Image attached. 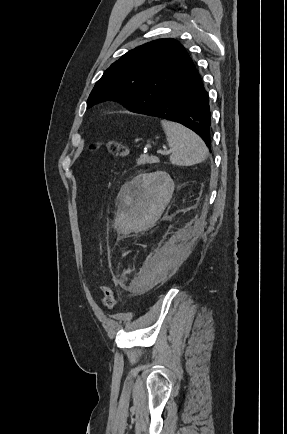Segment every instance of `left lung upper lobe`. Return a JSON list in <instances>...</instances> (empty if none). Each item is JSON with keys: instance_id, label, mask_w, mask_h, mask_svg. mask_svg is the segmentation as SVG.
Here are the masks:
<instances>
[{"instance_id": "5c2ea615", "label": "left lung upper lobe", "mask_w": 287, "mask_h": 434, "mask_svg": "<svg viewBox=\"0 0 287 434\" xmlns=\"http://www.w3.org/2000/svg\"><path fill=\"white\" fill-rule=\"evenodd\" d=\"M194 67L178 41L169 38L146 43L124 54L104 72L87 100V108L115 100L138 113L155 105Z\"/></svg>"}]
</instances>
